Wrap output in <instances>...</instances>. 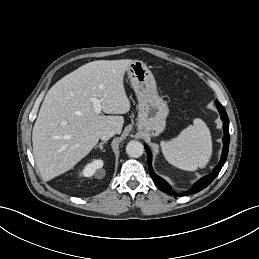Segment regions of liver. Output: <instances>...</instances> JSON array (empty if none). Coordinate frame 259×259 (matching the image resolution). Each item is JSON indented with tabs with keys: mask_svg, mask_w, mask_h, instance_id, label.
<instances>
[{
	"mask_svg": "<svg viewBox=\"0 0 259 259\" xmlns=\"http://www.w3.org/2000/svg\"><path fill=\"white\" fill-rule=\"evenodd\" d=\"M132 62H89L47 92L32 131L33 155L45 181L72 169L89 154L105 130L121 133L123 116L97 114L90 99L100 100L106 114L127 113L131 105L123 80Z\"/></svg>",
	"mask_w": 259,
	"mask_h": 259,
	"instance_id": "obj_1",
	"label": "liver"
}]
</instances>
